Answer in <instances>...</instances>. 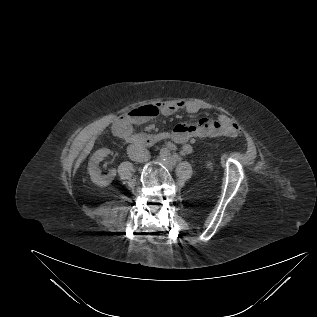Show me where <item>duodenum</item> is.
<instances>
[{
  "mask_svg": "<svg viewBox=\"0 0 317 317\" xmlns=\"http://www.w3.org/2000/svg\"><path fill=\"white\" fill-rule=\"evenodd\" d=\"M117 131L122 134L132 145L154 146L169 138L168 132H158L153 134H130L121 132L118 127Z\"/></svg>",
  "mask_w": 317,
  "mask_h": 317,
  "instance_id": "1",
  "label": "duodenum"
}]
</instances>
